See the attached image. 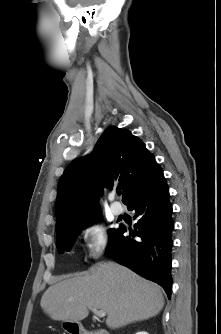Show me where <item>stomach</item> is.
I'll list each match as a JSON object with an SVG mask.
<instances>
[{
  "instance_id": "0dacf381",
  "label": "stomach",
  "mask_w": 221,
  "mask_h": 334,
  "mask_svg": "<svg viewBox=\"0 0 221 334\" xmlns=\"http://www.w3.org/2000/svg\"><path fill=\"white\" fill-rule=\"evenodd\" d=\"M63 327H64V329H67V327H68V322H64V323H63Z\"/></svg>"
}]
</instances>
